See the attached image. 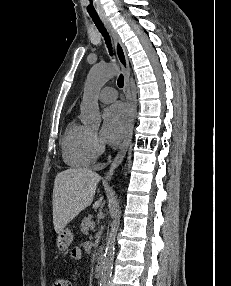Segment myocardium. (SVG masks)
<instances>
[{"instance_id": "f54148a6", "label": "myocardium", "mask_w": 231, "mask_h": 286, "mask_svg": "<svg viewBox=\"0 0 231 286\" xmlns=\"http://www.w3.org/2000/svg\"><path fill=\"white\" fill-rule=\"evenodd\" d=\"M92 147L95 153H100L102 151V146L98 143L97 137L94 133H91Z\"/></svg>"}]
</instances>
